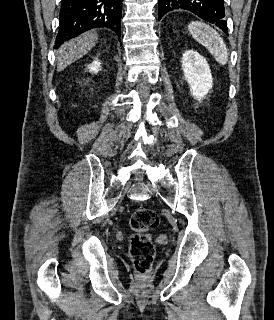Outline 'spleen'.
<instances>
[{
  "label": "spleen",
  "mask_w": 274,
  "mask_h": 320,
  "mask_svg": "<svg viewBox=\"0 0 274 320\" xmlns=\"http://www.w3.org/2000/svg\"><path fill=\"white\" fill-rule=\"evenodd\" d=\"M188 30L194 40H197L199 44H202V46H205L209 50L216 62H219L222 66L227 64V48L223 38H220L216 30L207 26V24H203V22H191Z\"/></svg>",
  "instance_id": "obj_1"
}]
</instances>
